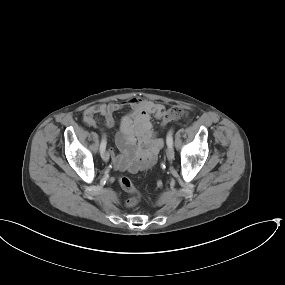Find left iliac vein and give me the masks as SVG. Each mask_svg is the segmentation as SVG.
I'll use <instances>...</instances> for the list:
<instances>
[{
	"mask_svg": "<svg viewBox=\"0 0 285 285\" xmlns=\"http://www.w3.org/2000/svg\"><path fill=\"white\" fill-rule=\"evenodd\" d=\"M166 156L169 161H172L174 159V149L172 148V146L167 147Z\"/></svg>",
	"mask_w": 285,
	"mask_h": 285,
	"instance_id": "left-iliac-vein-1",
	"label": "left iliac vein"
}]
</instances>
